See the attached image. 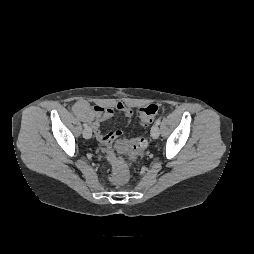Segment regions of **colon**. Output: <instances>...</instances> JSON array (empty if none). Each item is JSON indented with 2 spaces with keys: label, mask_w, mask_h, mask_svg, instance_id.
Listing matches in <instances>:
<instances>
[{
  "label": "colon",
  "mask_w": 254,
  "mask_h": 254,
  "mask_svg": "<svg viewBox=\"0 0 254 254\" xmlns=\"http://www.w3.org/2000/svg\"><path fill=\"white\" fill-rule=\"evenodd\" d=\"M157 113L158 106L155 104H149L137 109V116L144 125L150 124ZM120 146L123 151L134 155L141 152L147 146V140L144 137L128 139L122 141ZM113 178L117 183H123L127 176L121 169H118L114 173Z\"/></svg>",
  "instance_id": "colon-1"
}]
</instances>
